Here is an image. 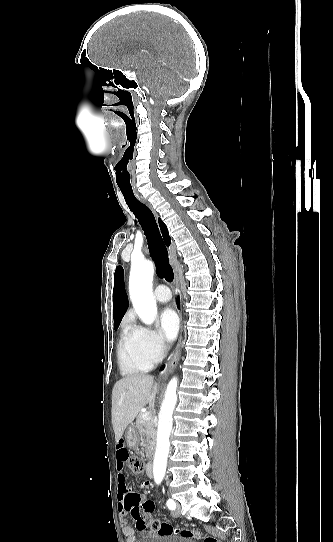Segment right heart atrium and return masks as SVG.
I'll list each match as a JSON object with an SVG mask.
<instances>
[{"mask_svg":"<svg viewBox=\"0 0 333 542\" xmlns=\"http://www.w3.org/2000/svg\"><path fill=\"white\" fill-rule=\"evenodd\" d=\"M135 338L150 353L157 357H162L167 352V344L156 331L143 326H136L134 331Z\"/></svg>","mask_w":333,"mask_h":542,"instance_id":"d8ad5b80","label":"right heart atrium"}]
</instances>
